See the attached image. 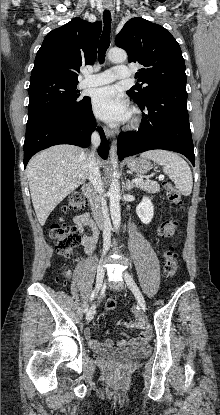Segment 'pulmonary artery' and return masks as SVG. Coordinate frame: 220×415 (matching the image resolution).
Listing matches in <instances>:
<instances>
[{
    "instance_id": "pulmonary-artery-1",
    "label": "pulmonary artery",
    "mask_w": 220,
    "mask_h": 415,
    "mask_svg": "<svg viewBox=\"0 0 220 415\" xmlns=\"http://www.w3.org/2000/svg\"><path fill=\"white\" fill-rule=\"evenodd\" d=\"M130 73L125 65H117L113 69L105 70L96 74L85 75L81 82L82 87H95L109 84L115 80H120L129 77Z\"/></svg>"
}]
</instances>
